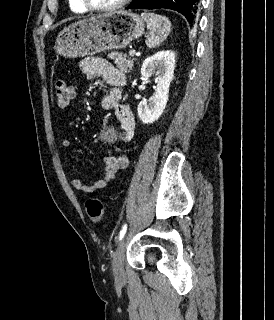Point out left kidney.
Here are the masks:
<instances>
[{"label":"left kidney","mask_w":274,"mask_h":320,"mask_svg":"<svg viewBox=\"0 0 274 320\" xmlns=\"http://www.w3.org/2000/svg\"><path fill=\"white\" fill-rule=\"evenodd\" d=\"M175 54L172 50H162L149 56L141 66L142 78L155 76V92L149 100L139 102L137 114L143 124H153L162 116L168 102L170 84L173 80Z\"/></svg>","instance_id":"5707ae66"}]
</instances>
